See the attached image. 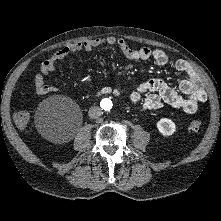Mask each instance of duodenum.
Instances as JSON below:
<instances>
[{"instance_id":"410a0bca","label":"duodenum","mask_w":221,"mask_h":221,"mask_svg":"<svg viewBox=\"0 0 221 221\" xmlns=\"http://www.w3.org/2000/svg\"><path fill=\"white\" fill-rule=\"evenodd\" d=\"M101 94H113V95H119V91L117 89H113L110 87H105L101 90Z\"/></svg>"}]
</instances>
